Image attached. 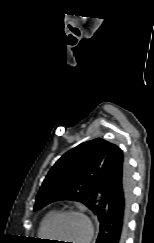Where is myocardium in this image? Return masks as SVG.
<instances>
[{
    "instance_id": "f54148a6",
    "label": "myocardium",
    "mask_w": 154,
    "mask_h": 243,
    "mask_svg": "<svg viewBox=\"0 0 154 243\" xmlns=\"http://www.w3.org/2000/svg\"><path fill=\"white\" fill-rule=\"evenodd\" d=\"M64 216H78L84 219L86 222V235L82 243H90L91 239L93 238L94 235V226L87 214H85L83 211L80 210H75V209H66V210H61L59 212H56L52 218L49 220L47 224V236L48 238L53 237L52 236V229L54 224L62 217Z\"/></svg>"
}]
</instances>
